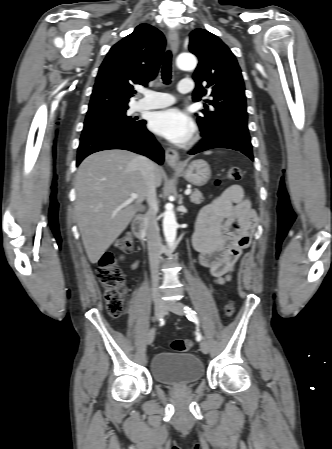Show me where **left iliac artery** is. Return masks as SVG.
Segmentation results:
<instances>
[{
  "mask_svg": "<svg viewBox=\"0 0 332 449\" xmlns=\"http://www.w3.org/2000/svg\"><path fill=\"white\" fill-rule=\"evenodd\" d=\"M184 310H185V313H186L188 319L190 321H193L197 325L198 332H197V335H196V340L197 341H201L202 335L199 332V320H198V317L196 316V313L188 306H185Z\"/></svg>",
  "mask_w": 332,
  "mask_h": 449,
  "instance_id": "left-iliac-artery-1",
  "label": "left iliac artery"
}]
</instances>
